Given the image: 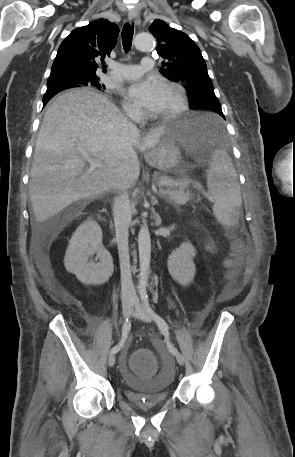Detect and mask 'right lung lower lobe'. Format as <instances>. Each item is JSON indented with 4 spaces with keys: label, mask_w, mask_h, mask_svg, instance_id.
<instances>
[{
    "label": "right lung lower lobe",
    "mask_w": 295,
    "mask_h": 457,
    "mask_svg": "<svg viewBox=\"0 0 295 457\" xmlns=\"http://www.w3.org/2000/svg\"><path fill=\"white\" fill-rule=\"evenodd\" d=\"M72 87H77L73 86L69 83H53V84H47V91L48 90H55V91H62L64 89L72 88ZM46 91V92H47ZM46 101L43 99V105H46Z\"/></svg>",
    "instance_id": "98d812e1"
}]
</instances>
